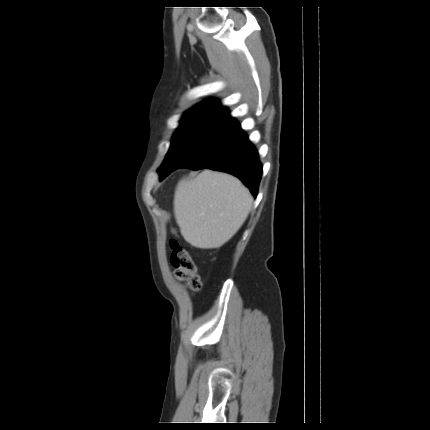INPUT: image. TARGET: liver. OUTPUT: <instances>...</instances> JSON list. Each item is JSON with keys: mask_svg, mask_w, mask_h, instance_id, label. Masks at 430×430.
Segmentation results:
<instances>
[{"mask_svg": "<svg viewBox=\"0 0 430 430\" xmlns=\"http://www.w3.org/2000/svg\"><path fill=\"white\" fill-rule=\"evenodd\" d=\"M252 196L227 173L204 170L181 180L174 197L177 224L184 239L201 249L219 248L238 231L251 209Z\"/></svg>", "mask_w": 430, "mask_h": 430, "instance_id": "obj_1", "label": "liver"}]
</instances>
